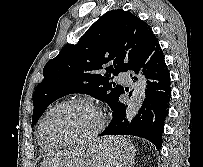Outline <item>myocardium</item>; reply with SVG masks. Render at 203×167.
Wrapping results in <instances>:
<instances>
[{"instance_id":"obj_1","label":"myocardium","mask_w":203,"mask_h":167,"mask_svg":"<svg viewBox=\"0 0 203 167\" xmlns=\"http://www.w3.org/2000/svg\"><path fill=\"white\" fill-rule=\"evenodd\" d=\"M69 104H81V105L87 106L90 109H92L98 118L97 125L95 126V128L93 130H91L90 132H88L87 134H85L79 138L71 139V140H67V141H63V142H56V143L48 142L45 139L44 133H43V126H44V123H45L47 117L55 110L61 108L62 106L69 105ZM104 126H105V116H104V113L102 112V110L95 103H93L92 101H90L87 98L75 97V98L65 99V100L57 103L56 105L51 107L42 116V118L39 122V126H38V136H39V140H40L41 144L44 146L64 147V146H69V145L78 144V143L92 140L93 138L98 136V134L103 130Z\"/></svg>"}]
</instances>
